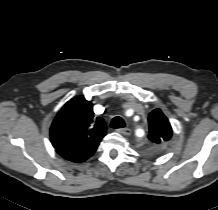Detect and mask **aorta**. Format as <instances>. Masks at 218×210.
Here are the masks:
<instances>
[{
    "label": "aorta",
    "mask_w": 218,
    "mask_h": 210,
    "mask_svg": "<svg viewBox=\"0 0 218 210\" xmlns=\"http://www.w3.org/2000/svg\"><path fill=\"white\" fill-rule=\"evenodd\" d=\"M139 132H142V130L138 129V130H137V133H139Z\"/></svg>",
    "instance_id": "aorta-1"
}]
</instances>
